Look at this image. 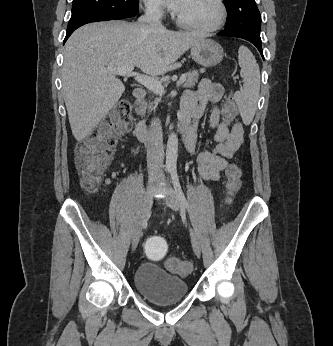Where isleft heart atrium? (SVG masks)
<instances>
[{
	"label": "left heart atrium",
	"instance_id": "left-heart-atrium-1",
	"mask_svg": "<svg viewBox=\"0 0 333 346\" xmlns=\"http://www.w3.org/2000/svg\"><path fill=\"white\" fill-rule=\"evenodd\" d=\"M167 6L174 11L175 13H179L187 0H164Z\"/></svg>",
	"mask_w": 333,
	"mask_h": 346
}]
</instances>
